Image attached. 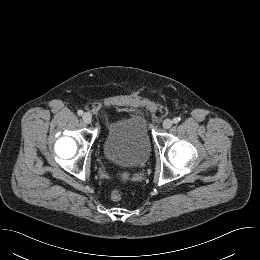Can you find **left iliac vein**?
I'll list each match as a JSON object with an SVG mask.
<instances>
[{"mask_svg": "<svg viewBox=\"0 0 260 260\" xmlns=\"http://www.w3.org/2000/svg\"><path fill=\"white\" fill-rule=\"evenodd\" d=\"M172 124H173V122H172V120H170V119H165L164 121H163V128L164 129H169L171 126H172Z\"/></svg>", "mask_w": 260, "mask_h": 260, "instance_id": "4c4485c4", "label": "left iliac vein"}]
</instances>
